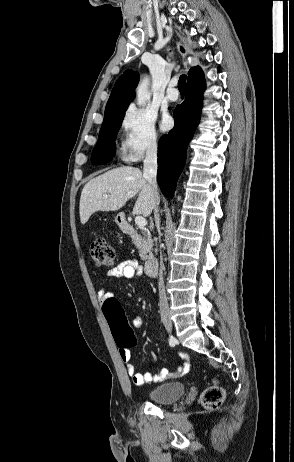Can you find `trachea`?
<instances>
[{
    "label": "trachea",
    "instance_id": "trachea-1",
    "mask_svg": "<svg viewBox=\"0 0 294 462\" xmlns=\"http://www.w3.org/2000/svg\"><path fill=\"white\" fill-rule=\"evenodd\" d=\"M186 75H181L178 82V89L180 91H185Z\"/></svg>",
    "mask_w": 294,
    "mask_h": 462
}]
</instances>
